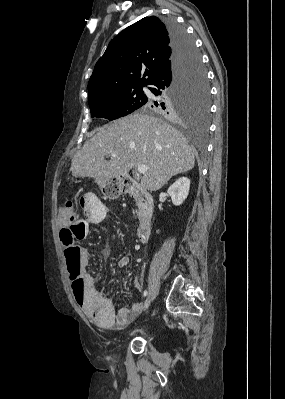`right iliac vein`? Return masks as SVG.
<instances>
[{"instance_id": "right-iliac-vein-1", "label": "right iliac vein", "mask_w": 285, "mask_h": 399, "mask_svg": "<svg viewBox=\"0 0 285 399\" xmlns=\"http://www.w3.org/2000/svg\"><path fill=\"white\" fill-rule=\"evenodd\" d=\"M152 300H153L152 294H149L142 306V312L145 311L150 306Z\"/></svg>"}]
</instances>
